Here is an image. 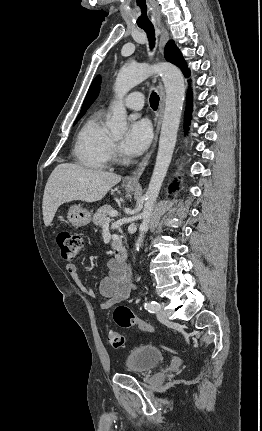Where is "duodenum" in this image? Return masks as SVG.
<instances>
[{
	"label": "duodenum",
	"mask_w": 262,
	"mask_h": 431,
	"mask_svg": "<svg viewBox=\"0 0 262 431\" xmlns=\"http://www.w3.org/2000/svg\"><path fill=\"white\" fill-rule=\"evenodd\" d=\"M119 258L122 260V261H124V262H127V259H128V253H127V251L126 250H121L120 252H119Z\"/></svg>",
	"instance_id": "1"
}]
</instances>
